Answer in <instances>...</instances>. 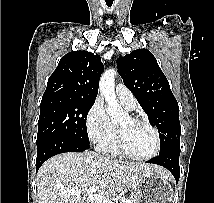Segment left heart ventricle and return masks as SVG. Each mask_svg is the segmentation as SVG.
I'll return each instance as SVG.
<instances>
[{"label":"left heart ventricle","instance_id":"left-heart-ventricle-1","mask_svg":"<svg viewBox=\"0 0 214 203\" xmlns=\"http://www.w3.org/2000/svg\"><path fill=\"white\" fill-rule=\"evenodd\" d=\"M124 132L125 144L128 150L136 156H147L154 151L155 136L146 125L132 122L128 116L119 123Z\"/></svg>","mask_w":214,"mask_h":203}]
</instances>
